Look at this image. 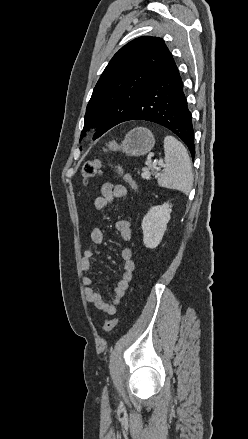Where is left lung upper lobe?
Returning a JSON list of instances; mask_svg holds the SVG:
<instances>
[{
    "instance_id": "1",
    "label": "left lung upper lobe",
    "mask_w": 248,
    "mask_h": 439,
    "mask_svg": "<svg viewBox=\"0 0 248 439\" xmlns=\"http://www.w3.org/2000/svg\"><path fill=\"white\" fill-rule=\"evenodd\" d=\"M158 37L143 36L123 46L98 80L87 105L82 136L89 126L101 124L96 139L119 124L171 60Z\"/></svg>"
}]
</instances>
